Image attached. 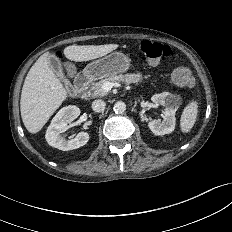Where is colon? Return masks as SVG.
Returning a JSON list of instances; mask_svg holds the SVG:
<instances>
[{
    "instance_id": "colon-1",
    "label": "colon",
    "mask_w": 232,
    "mask_h": 232,
    "mask_svg": "<svg viewBox=\"0 0 232 232\" xmlns=\"http://www.w3.org/2000/svg\"><path fill=\"white\" fill-rule=\"evenodd\" d=\"M139 52L150 62H158L170 55V47L166 44L143 41L139 45ZM172 82L178 87H192L195 79L192 72L184 66L175 68L171 75Z\"/></svg>"
}]
</instances>
